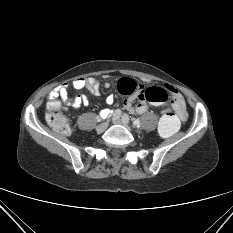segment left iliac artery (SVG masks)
Masks as SVG:
<instances>
[{"mask_svg": "<svg viewBox=\"0 0 233 233\" xmlns=\"http://www.w3.org/2000/svg\"><path fill=\"white\" fill-rule=\"evenodd\" d=\"M122 119H123L124 121H126V122H129V116H128L127 114H124V115L122 116Z\"/></svg>", "mask_w": 233, "mask_h": 233, "instance_id": "obj_1", "label": "left iliac artery"}]
</instances>
